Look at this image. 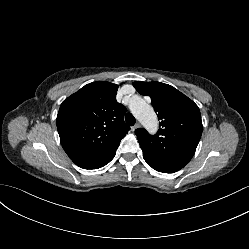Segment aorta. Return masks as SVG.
Instances as JSON below:
<instances>
[{
    "instance_id": "aorta-1",
    "label": "aorta",
    "mask_w": 249,
    "mask_h": 249,
    "mask_svg": "<svg viewBox=\"0 0 249 249\" xmlns=\"http://www.w3.org/2000/svg\"><path fill=\"white\" fill-rule=\"evenodd\" d=\"M130 110L147 130L156 132L158 119L153 108L147 102L136 96L130 103Z\"/></svg>"
}]
</instances>
